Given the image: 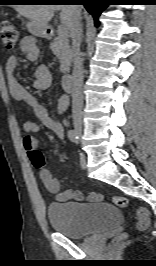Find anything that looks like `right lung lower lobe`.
<instances>
[{
  "label": "right lung lower lobe",
  "mask_w": 156,
  "mask_h": 266,
  "mask_svg": "<svg viewBox=\"0 0 156 266\" xmlns=\"http://www.w3.org/2000/svg\"><path fill=\"white\" fill-rule=\"evenodd\" d=\"M58 2L51 3H65L64 1H73L84 5L87 11L94 17L95 25L98 26V17L101 12L110 4V0H55Z\"/></svg>",
  "instance_id": "98d812e1"
}]
</instances>
